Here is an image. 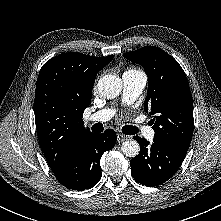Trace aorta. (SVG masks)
<instances>
[{
    "instance_id": "1",
    "label": "aorta",
    "mask_w": 221,
    "mask_h": 221,
    "mask_svg": "<svg viewBox=\"0 0 221 221\" xmlns=\"http://www.w3.org/2000/svg\"><path fill=\"white\" fill-rule=\"evenodd\" d=\"M97 88L104 98L113 99L122 90V80L115 75H104L99 79ZM122 153L127 157H136L139 154L140 146L135 140H127L122 143Z\"/></svg>"
}]
</instances>
